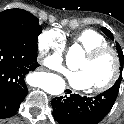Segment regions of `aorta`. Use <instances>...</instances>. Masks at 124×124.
<instances>
[{
  "instance_id": "762f6f07",
  "label": "aorta",
  "mask_w": 124,
  "mask_h": 124,
  "mask_svg": "<svg viewBox=\"0 0 124 124\" xmlns=\"http://www.w3.org/2000/svg\"><path fill=\"white\" fill-rule=\"evenodd\" d=\"M42 88L51 95H59L65 90V81L58 75H51Z\"/></svg>"
}]
</instances>
